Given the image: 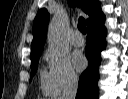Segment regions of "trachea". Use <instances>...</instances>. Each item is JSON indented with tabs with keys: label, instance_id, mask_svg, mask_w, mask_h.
<instances>
[{
	"label": "trachea",
	"instance_id": "trachea-1",
	"mask_svg": "<svg viewBox=\"0 0 128 99\" xmlns=\"http://www.w3.org/2000/svg\"><path fill=\"white\" fill-rule=\"evenodd\" d=\"M78 29L83 34H86V32H87L86 21L83 17H80L78 20Z\"/></svg>",
	"mask_w": 128,
	"mask_h": 99
}]
</instances>
